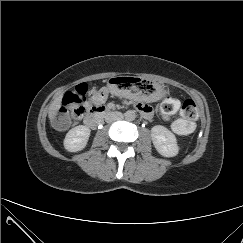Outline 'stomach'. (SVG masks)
Returning a JSON list of instances; mask_svg holds the SVG:
<instances>
[{"label":"stomach","mask_w":243,"mask_h":243,"mask_svg":"<svg viewBox=\"0 0 243 243\" xmlns=\"http://www.w3.org/2000/svg\"><path fill=\"white\" fill-rule=\"evenodd\" d=\"M112 91L131 99L154 101L165 94L158 83L133 76H117L110 80Z\"/></svg>","instance_id":"stomach-1"}]
</instances>
